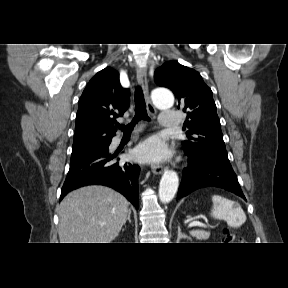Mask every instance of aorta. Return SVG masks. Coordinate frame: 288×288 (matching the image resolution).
<instances>
[{
	"label": "aorta",
	"instance_id": "aorta-1",
	"mask_svg": "<svg viewBox=\"0 0 288 288\" xmlns=\"http://www.w3.org/2000/svg\"><path fill=\"white\" fill-rule=\"evenodd\" d=\"M152 100L156 107L167 109L173 106L174 97L170 91L156 89L152 92ZM179 185L178 175L173 170H167L159 184V199L162 203H169L175 196Z\"/></svg>",
	"mask_w": 288,
	"mask_h": 288
}]
</instances>
